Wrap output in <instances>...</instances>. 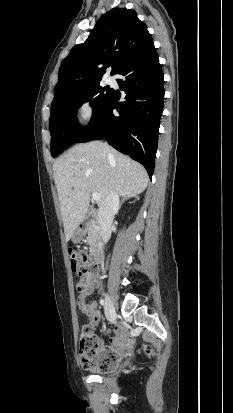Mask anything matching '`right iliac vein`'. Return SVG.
<instances>
[{
    "mask_svg": "<svg viewBox=\"0 0 233 413\" xmlns=\"http://www.w3.org/2000/svg\"><path fill=\"white\" fill-rule=\"evenodd\" d=\"M105 315L108 320H112L115 317V309L109 296H106L105 299Z\"/></svg>",
    "mask_w": 233,
    "mask_h": 413,
    "instance_id": "right-iliac-vein-1",
    "label": "right iliac vein"
}]
</instances>
